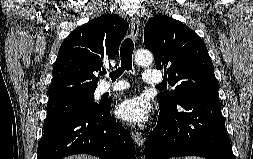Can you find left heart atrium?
<instances>
[{
    "instance_id": "obj_1",
    "label": "left heart atrium",
    "mask_w": 253,
    "mask_h": 159,
    "mask_svg": "<svg viewBox=\"0 0 253 159\" xmlns=\"http://www.w3.org/2000/svg\"><path fill=\"white\" fill-rule=\"evenodd\" d=\"M118 117L128 123L142 125L149 120V105L142 96L123 100L117 105Z\"/></svg>"
}]
</instances>
